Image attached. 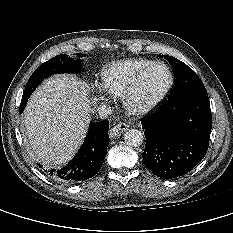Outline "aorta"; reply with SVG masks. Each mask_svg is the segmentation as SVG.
Masks as SVG:
<instances>
[{
    "label": "aorta",
    "mask_w": 233,
    "mask_h": 233,
    "mask_svg": "<svg viewBox=\"0 0 233 233\" xmlns=\"http://www.w3.org/2000/svg\"><path fill=\"white\" fill-rule=\"evenodd\" d=\"M144 135L140 130L137 129H129L124 134L125 144L128 146H140L143 143Z\"/></svg>",
    "instance_id": "762f6f07"
}]
</instances>
